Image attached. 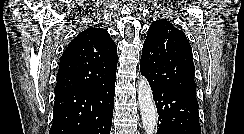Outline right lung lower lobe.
<instances>
[{
    "label": "right lung lower lobe",
    "instance_id": "obj_1",
    "mask_svg": "<svg viewBox=\"0 0 244 134\" xmlns=\"http://www.w3.org/2000/svg\"><path fill=\"white\" fill-rule=\"evenodd\" d=\"M115 81L55 94L49 134H110Z\"/></svg>",
    "mask_w": 244,
    "mask_h": 134
}]
</instances>
